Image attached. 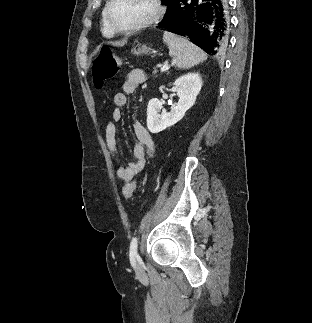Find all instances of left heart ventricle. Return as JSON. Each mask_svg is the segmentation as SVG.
I'll use <instances>...</instances> for the list:
<instances>
[{
  "label": "left heart ventricle",
  "mask_w": 312,
  "mask_h": 323,
  "mask_svg": "<svg viewBox=\"0 0 312 323\" xmlns=\"http://www.w3.org/2000/svg\"><path fill=\"white\" fill-rule=\"evenodd\" d=\"M155 13V2L151 0H116L111 7V18H148Z\"/></svg>",
  "instance_id": "1"
}]
</instances>
